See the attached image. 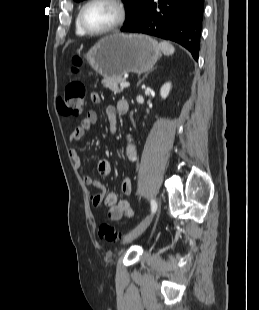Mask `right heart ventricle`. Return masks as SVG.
Wrapping results in <instances>:
<instances>
[{
	"mask_svg": "<svg viewBox=\"0 0 259 310\" xmlns=\"http://www.w3.org/2000/svg\"><path fill=\"white\" fill-rule=\"evenodd\" d=\"M75 32L77 35L79 36H85L87 35L80 27L79 23H78V18H76V21H75Z\"/></svg>",
	"mask_w": 259,
	"mask_h": 310,
	"instance_id": "right-heart-ventricle-1",
	"label": "right heart ventricle"
}]
</instances>
